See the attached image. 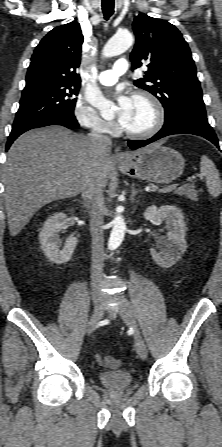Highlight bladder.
I'll return each instance as SVG.
<instances>
[{
	"label": "bladder",
	"mask_w": 222,
	"mask_h": 447,
	"mask_svg": "<svg viewBox=\"0 0 222 447\" xmlns=\"http://www.w3.org/2000/svg\"><path fill=\"white\" fill-rule=\"evenodd\" d=\"M97 377L101 385L110 391L126 390L133 382V375L126 370L101 372Z\"/></svg>",
	"instance_id": "obj_1"
}]
</instances>
